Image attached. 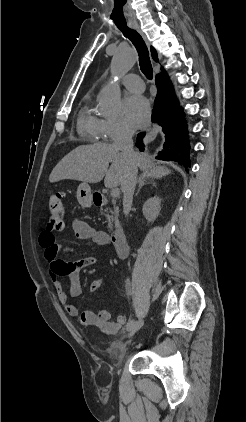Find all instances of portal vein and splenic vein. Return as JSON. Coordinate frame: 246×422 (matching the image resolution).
<instances>
[{"label": "portal vein and splenic vein", "mask_w": 246, "mask_h": 422, "mask_svg": "<svg viewBox=\"0 0 246 422\" xmlns=\"http://www.w3.org/2000/svg\"><path fill=\"white\" fill-rule=\"evenodd\" d=\"M119 195H120V190H119V188H114V189H112V191H111V197L116 198V197H118Z\"/></svg>", "instance_id": "1"}]
</instances>
